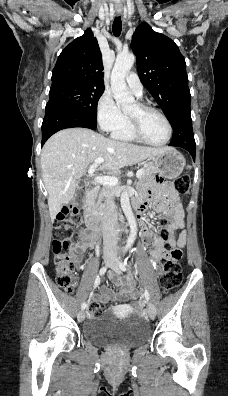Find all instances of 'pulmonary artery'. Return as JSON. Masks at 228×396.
Instances as JSON below:
<instances>
[{"mask_svg":"<svg viewBox=\"0 0 228 396\" xmlns=\"http://www.w3.org/2000/svg\"><path fill=\"white\" fill-rule=\"evenodd\" d=\"M126 83L131 91L138 97L142 96L143 94V86L138 77V75L134 72L129 73L126 78Z\"/></svg>","mask_w":228,"mask_h":396,"instance_id":"e3ab8cb5","label":"pulmonary artery"}]
</instances>
